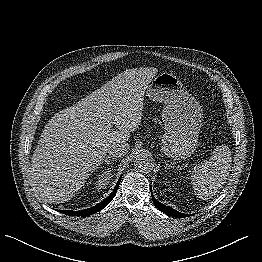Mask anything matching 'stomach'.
<instances>
[{"label": "stomach", "mask_w": 262, "mask_h": 262, "mask_svg": "<svg viewBox=\"0 0 262 262\" xmlns=\"http://www.w3.org/2000/svg\"><path fill=\"white\" fill-rule=\"evenodd\" d=\"M147 96L152 101L164 103L162 120L165 134L160 143L161 152L174 160L190 157L196 149L203 122L197 100L178 77L167 72L152 79Z\"/></svg>", "instance_id": "obj_1"}]
</instances>
